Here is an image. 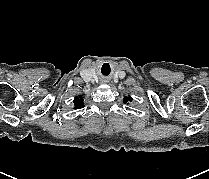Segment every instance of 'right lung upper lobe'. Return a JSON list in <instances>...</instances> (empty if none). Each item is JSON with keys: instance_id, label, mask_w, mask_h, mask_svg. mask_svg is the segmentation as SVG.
Instances as JSON below:
<instances>
[{"instance_id": "1", "label": "right lung upper lobe", "mask_w": 209, "mask_h": 179, "mask_svg": "<svg viewBox=\"0 0 209 179\" xmlns=\"http://www.w3.org/2000/svg\"><path fill=\"white\" fill-rule=\"evenodd\" d=\"M73 102H74L75 109L84 107V102L81 96L75 97Z\"/></svg>"}]
</instances>
